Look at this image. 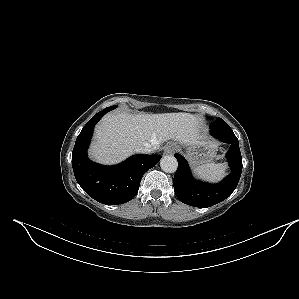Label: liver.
Returning a JSON list of instances; mask_svg holds the SVG:
<instances>
[{
	"mask_svg": "<svg viewBox=\"0 0 299 299\" xmlns=\"http://www.w3.org/2000/svg\"><path fill=\"white\" fill-rule=\"evenodd\" d=\"M199 127V118L189 113L107 114L96 126L89 155L99 163L115 164L147 144L154 150L167 140L196 144Z\"/></svg>",
	"mask_w": 299,
	"mask_h": 299,
	"instance_id": "1",
	"label": "liver"
}]
</instances>
